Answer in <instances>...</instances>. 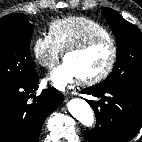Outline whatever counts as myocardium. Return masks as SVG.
Returning a JSON list of instances; mask_svg holds the SVG:
<instances>
[{
    "instance_id": "obj_1",
    "label": "myocardium",
    "mask_w": 142,
    "mask_h": 142,
    "mask_svg": "<svg viewBox=\"0 0 142 142\" xmlns=\"http://www.w3.org/2000/svg\"><path fill=\"white\" fill-rule=\"evenodd\" d=\"M101 41H107L111 45L112 53H111L110 60L107 64V66L101 72H99L93 76L80 78V81L82 84L94 85V84H97V83L103 81L104 79H106L110 75V73L114 69V66H115L117 58H118V46H117L116 41L111 36L92 35V36H89L76 44L69 46L68 48H66L63 51V59L65 60L67 55H69L71 53H75V52L84 51V50L88 49L89 47H91L92 45H94L95 43L101 42Z\"/></svg>"
}]
</instances>
